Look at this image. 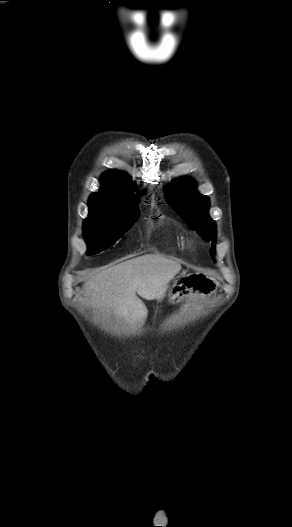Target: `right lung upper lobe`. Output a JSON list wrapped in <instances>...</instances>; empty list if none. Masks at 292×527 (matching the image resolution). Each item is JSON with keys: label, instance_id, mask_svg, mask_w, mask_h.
I'll list each match as a JSON object with an SVG mask.
<instances>
[{"label": "right lung upper lobe", "instance_id": "1", "mask_svg": "<svg viewBox=\"0 0 292 527\" xmlns=\"http://www.w3.org/2000/svg\"><path fill=\"white\" fill-rule=\"evenodd\" d=\"M102 185L98 192L92 194L91 199L125 206L138 205L139 199L131 193L132 186L125 173L117 170L105 173Z\"/></svg>", "mask_w": 292, "mask_h": 527}]
</instances>
